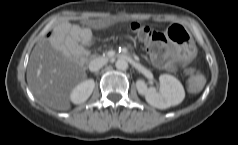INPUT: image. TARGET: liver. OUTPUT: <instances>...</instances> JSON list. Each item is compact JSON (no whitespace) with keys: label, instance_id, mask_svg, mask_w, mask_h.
<instances>
[{"label":"liver","instance_id":"liver-1","mask_svg":"<svg viewBox=\"0 0 238 145\" xmlns=\"http://www.w3.org/2000/svg\"><path fill=\"white\" fill-rule=\"evenodd\" d=\"M128 14H105L99 19L84 20L87 28L63 22L57 25L53 34L42 38L34 47L27 66V82L32 93L45 105L66 111L71 107V90L86 78L87 59L68 42L70 37L91 33L116 23L129 21Z\"/></svg>","mask_w":238,"mask_h":145}]
</instances>
